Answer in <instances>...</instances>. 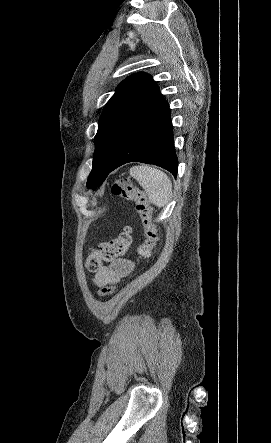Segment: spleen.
<instances>
[{"instance_id": "spleen-1", "label": "spleen", "mask_w": 271, "mask_h": 443, "mask_svg": "<svg viewBox=\"0 0 271 443\" xmlns=\"http://www.w3.org/2000/svg\"><path fill=\"white\" fill-rule=\"evenodd\" d=\"M130 176L135 178L145 190L150 202L158 208H163L169 202L172 194V184L168 176L150 166H133L129 170Z\"/></svg>"}]
</instances>
